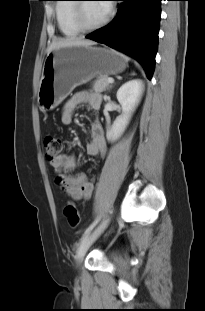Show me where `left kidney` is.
<instances>
[{
  "instance_id": "obj_1",
  "label": "left kidney",
  "mask_w": 205,
  "mask_h": 311,
  "mask_svg": "<svg viewBox=\"0 0 205 311\" xmlns=\"http://www.w3.org/2000/svg\"><path fill=\"white\" fill-rule=\"evenodd\" d=\"M143 92V82L134 79L123 84L117 91V100L122 107V114L116 118L111 129L107 132L109 140L118 138L124 131L132 112L138 105Z\"/></svg>"
}]
</instances>
